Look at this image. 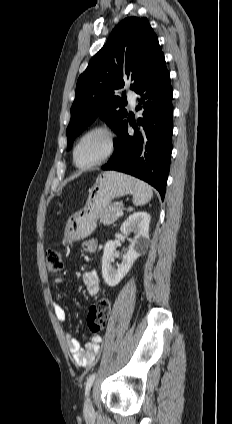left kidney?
Segmentation results:
<instances>
[{
	"label": "left kidney",
	"instance_id": "left-kidney-1",
	"mask_svg": "<svg viewBox=\"0 0 232 424\" xmlns=\"http://www.w3.org/2000/svg\"><path fill=\"white\" fill-rule=\"evenodd\" d=\"M150 219L151 217L147 212L140 211L130 215L122 224L121 232L125 236L134 233L135 237L117 269L111 265L114 260L116 245L113 241L106 243L102 257V276L105 283L110 287L116 286L126 276L135 260L148 248Z\"/></svg>",
	"mask_w": 232,
	"mask_h": 424
}]
</instances>
